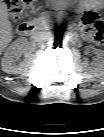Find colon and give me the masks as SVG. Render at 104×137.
<instances>
[{
	"label": "colon",
	"mask_w": 104,
	"mask_h": 137,
	"mask_svg": "<svg viewBox=\"0 0 104 137\" xmlns=\"http://www.w3.org/2000/svg\"><path fill=\"white\" fill-rule=\"evenodd\" d=\"M9 15L19 20L26 14L31 0H3ZM82 26L85 33L96 44H101L104 39V22L102 17L94 11H85L82 16Z\"/></svg>",
	"instance_id": "obj_1"
}]
</instances>
